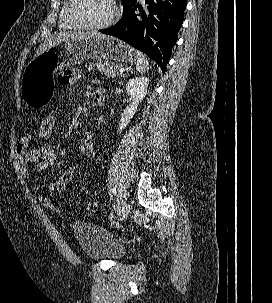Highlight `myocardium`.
Wrapping results in <instances>:
<instances>
[{
  "label": "myocardium",
  "mask_w": 272,
  "mask_h": 303,
  "mask_svg": "<svg viewBox=\"0 0 272 303\" xmlns=\"http://www.w3.org/2000/svg\"><path fill=\"white\" fill-rule=\"evenodd\" d=\"M74 3H75V0H67V5H66V9H65V17L71 25H73L74 27L79 28V29L92 30V31L106 29V28L110 27L117 20L119 14H120V7H119L117 0H111V4H112V8H113L112 14L105 22L98 24V25L85 24V23H82V22L76 20L72 16V7H73Z\"/></svg>",
  "instance_id": "f54148a6"
}]
</instances>
